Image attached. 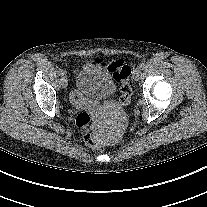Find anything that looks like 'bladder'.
<instances>
[{
	"instance_id": "1",
	"label": "bladder",
	"mask_w": 207,
	"mask_h": 207,
	"mask_svg": "<svg viewBox=\"0 0 207 207\" xmlns=\"http://www.w3.org/2000/svg\"><path fill=\"white\" fill-rule=\"evenodd\" d=\"M75 87L85 96L105 98L113 93L115 84L110 72L102 63L88 61L78 71Z\"/></svg>"
}]
</instances>
